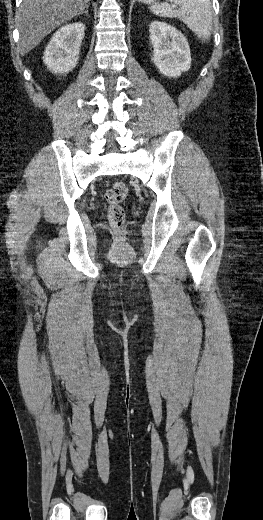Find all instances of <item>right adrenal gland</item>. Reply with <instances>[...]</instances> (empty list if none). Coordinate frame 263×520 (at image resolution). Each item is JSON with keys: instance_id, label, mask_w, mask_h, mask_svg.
Segmentation results:
<instances>
[{"instance_id": "2a0ac1e0", "label": "right adrenal gland", "mask_w": 263, "mask_h": 520, "mask_svg": "<svg viewBox=\"0 0 263 520\" xmlns=\"http://www.w3.org/2000/svg\"><path fill=\"white\" fill-rule=\"evenodd\" d=\"M84 13H85L86 16H89L88 7L86 8V11Z\"/></svg>"}]
</instances>
